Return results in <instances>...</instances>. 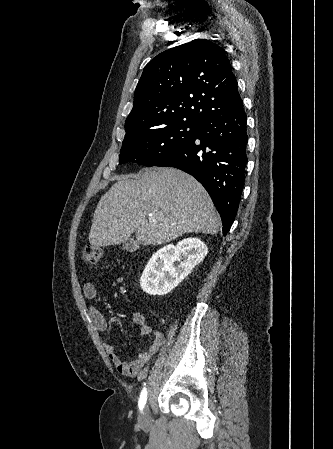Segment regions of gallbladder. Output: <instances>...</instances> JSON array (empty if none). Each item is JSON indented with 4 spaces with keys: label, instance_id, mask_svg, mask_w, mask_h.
<instances>
[{
    "label": "gallbladder",
    "instance_id": "1",
    "mask_svg": "<svg viewBox=\"0 0 333 449\" xmlns=\"http://www.w3.org/2000/svg\"><path fill=\"white\" fill-rule=\"evenodd\" d=\"M139 248V242L134 240V239H127L124 241L123 243V249L128 251V252H134L136 250H138Z\"/></svg>",
    "mask_w": 333,
    "mask_h": 449
}]
</instances>
